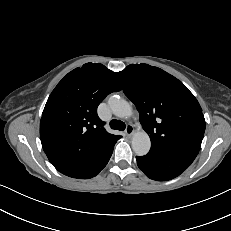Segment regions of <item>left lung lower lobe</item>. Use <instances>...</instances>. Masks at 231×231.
<instances>
[{
    "label": "left lung lower lobe",
    "instance_id": "1",
    "mask_svg": "<svg viewBox=\"0 0 231 231\" xmlns=\"http://www.w3.org/2000/svg\"><path fill=\"white\" fill-rule=\"evenodd\" d=\"M138 167L150 179L157 181L171 180L184 172L193 162L192 159L166 155L150 151L145 156L136 157Z\"/></svg>",
    "mask_w": 231,
    "mask_h": 231
}]
</instances>
